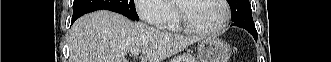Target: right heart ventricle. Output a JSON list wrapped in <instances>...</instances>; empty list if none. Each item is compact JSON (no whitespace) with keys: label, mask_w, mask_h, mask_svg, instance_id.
<instances>
[{"label":"right heart ventricle","mask_w":331,"mask_h":62,"mask_svg":"<svg viewBox=\"0 0 331 62\" xmlns=\"http://www.w3.org/2000/svg\"><path fill=\"white\" fill-rule=\"evenodd\" d=\"M166 28H168V30H171V31H178V30H180V25H179L178 21L173 19Z\"/></svg>","instance_id":"right-heart-ventricle-1"}]
</instances>
